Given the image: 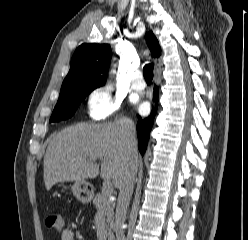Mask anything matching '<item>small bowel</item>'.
Wrapping results in <instances>:
<instances>
[{"instance_id": "obj_1", "label": "small bowel", "mask_w": 248, "mask_h": 240, "mask_svg": "<svg viewBox=\"0 0 248 240\" xmlns=\"http://www.w3.org/2000/svg\"><path fill=\"white\" fill-rule=\"evenodd\" d=\"M61 240H76V235L73 230H64L61 234Z\"/></svg>"}]
</instances>
